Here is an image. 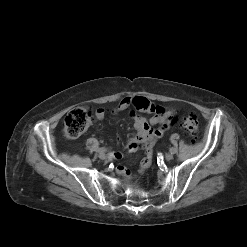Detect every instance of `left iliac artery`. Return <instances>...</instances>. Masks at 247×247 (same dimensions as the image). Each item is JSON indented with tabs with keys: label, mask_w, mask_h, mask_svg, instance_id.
<instances>
[{
	"label": "left iliac artery",
	"mask_w": 247,
	"mask_h": 247,
	"mask_svg": "<svg viewBox=\"0 0 247 247\" xmlns=\"http://www.w3.org/2000/svg\"><path fill=\"white\" fill-rule=\"evenodd\" d=\"M170 152H171L172 154H175V153L177 152V149L174 148V147H172V148H170Z\"/></svg>",
	"instance_id": "obj_1"
}]
</instances>
